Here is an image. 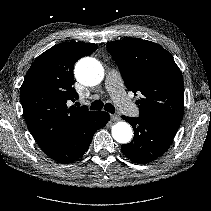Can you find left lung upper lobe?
Masks as SVG:
<instances>
[{
  "mask_svg": "<svg viewBox=\"0 0 211 211\" xmlns=\"http://www.w3.org/2000/svg\"><path fill=\"white\" fill-rule=\"evenodd\" d=\"M107 48L127 89L141 94L136 102L141 117L182 120L183 77L169 52L137 38L112 41Z\"/></svg>",
  "mask_w": 211,
  "mask_h": 211,
  "instance_id": "left-lung-upper-lobe-1",
  "label": "left lung upper lobe"
}]
</instances>
